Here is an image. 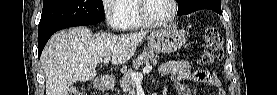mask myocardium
I'll use <instances>...</instances> for the list:
<instances>
[{
    "instance_id": "f54148a6",
    "label": "myocardium",
    "mask_w": 277,
    "mask_h": 95,
    "mask_svg": "<svg viewBox=\"0 0 277 95\" xmlns=\"http://www.w3.org/2000/svg\"><path fill=\"white\" fill-rule=\"evenodd\" d=\"M146 1L147 0H138V3H137L138 15L141 18V20L145 23V25L149 27H164V26H168L170 23L173 22L178 10V5L176 0H169L172 5V11L170 16L166 20H162V21L151 19L145 14L144 9H145Z\"/></svg>"
}]
</instances>
